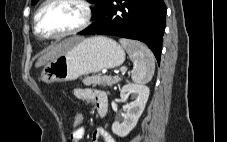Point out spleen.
Segmentation results:
<instances>
[{"label": "spleen", "mask_w": 227, "mask_h": 142, "mask_svg": "<svg viewBox=\"0 0 227 142\" xmlns=\"http://www.w3.org/2000/svg\"><path fill=\"white\" fill-rule=\"evenodd\" d=\"M119 42L133 62V82L136 84L150 82L155 71V58L151 50L146 45L134 40L122 38Z\"/></svg>", "instance_id": "3e777b00"}]
</instances>
